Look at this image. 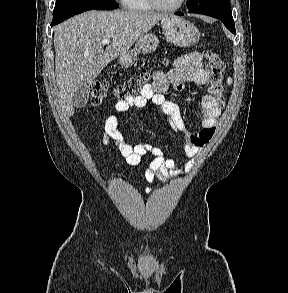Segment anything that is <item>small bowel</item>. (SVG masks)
Wrapping results in <instances>:
<instances>
[{
    "instance_id": "obj_1",
    "label": "small bowel",
    "mask_w": 288,
    "mask_h": 293,
    "mask_svg": "<svg viewBox=\"0 0 288 293\" xmlns=\"http://www.w3.org/2000/svg\"><path fill=\"white\" fill-rule=\"evenodd\" d=\"M201 60V55L193 52L174 60L172 68L168 72L155 71L152 84L146 85L139 95L118 101L115 104L117 114H112L105 120L102 141L104 146L112 141L120 155L130 165H138L146 154L153 156L145 171V179L149 184H152L155 179L167 182L170 177L178 176L181 170L178 169L174 160L164 156L162 149L157 145L153 143L132 144L128 141L118 128V114L124 113L132 107L144 108L148 102L159 106L171 129L182 136L183 152L189 158L184 165V170L190 171L203 147L210 142L215 134L217 121L221 115L220 104L213 96L204 95L201 100V128L198 131H190L185 124L179 106L175 102L167 100L164 93L170 87L182 91L187 82H193L201 88L206 87L209 83V76ZM146 192L150 193V189L148 188Z\"/></svg>"
}]
</instances>
